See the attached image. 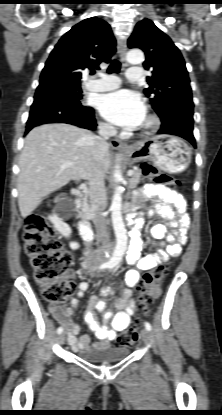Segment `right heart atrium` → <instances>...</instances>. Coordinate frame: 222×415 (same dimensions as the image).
<instances>
[{
  "label": "right heart atrium",
  "mask_w": 222,
  "mask_h": 415,
  "mask_svg": "<svg viewBox=\"0 0 222 415\" xmlns=\"http://www.w3.org/2000/svg\"><path fill=\"white\" fill-rule=\"evenodd\" d=\"M100 128H101V130H102V131H104V132H108V131H110V130H111V127H110L108 124H106V123H101V124H100Z\"/></svg>",
  "instance_id": "obj_1"
}]
</instances>
